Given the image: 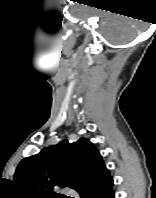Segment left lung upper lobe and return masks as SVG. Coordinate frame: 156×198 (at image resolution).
<instances>
[{"label": "left lung upper lobe", "instance_id": "obj_1", "mask_svg": "<svg viewBox=\"0 0 156 198\" xmlns=\"http://www.w3.org/2000/svg\"><path fill=\"white\" fill-rule=\"evenodd\" d=\"M107 170L99 151L87 138L77 142L63 140L24 158L16 169L14 181L28 197L61 198L54 191L58 187H70L80 193ZM73 171L84 179L76 177Z\"/></svg>", "mask_w": 156, "mask_h": 198}]
</instances>
